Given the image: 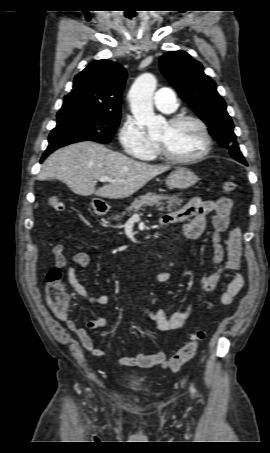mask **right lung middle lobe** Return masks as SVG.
Instances as JSON below:
<instances>
[{
    "label": "right lung middle lobe",
    "instance_id": "dd1d6c3e",
    "mask_svg": "<svg viewBox=\"0 0 270 453\" xmlns=\"http://www.w3.org/2000/svg\"><path fill=\"white\" fill-rule=\"evenodd\" d=\"M120 115L80 112L57 117V126L49 135L48 147H62L91 140L108 143L118 128Z\"/></svg>",
    "mask_w": 270,
    "mask_h": 453
}]
</instances>
